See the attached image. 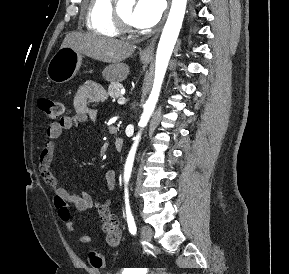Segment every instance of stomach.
<instances>
[{
	"label": "stomach",
	"mask_w": 289,
	"mask_h": 274,
	"mask_svg": "<svg viewBox=\"0 0 289 274\" xmlns=\"http://www.w3.org/2000/svg\"><path fill=\"white\" fill-rule=\"evenodd\" d=\"M151 57H141L143 63H148ZM82 63L81 53L71 47H61L50 59L47 66V76L54 83L70 81L78 73Z\"/></svg>",
	"instance_id": "obj_1"
}]
</instances>
